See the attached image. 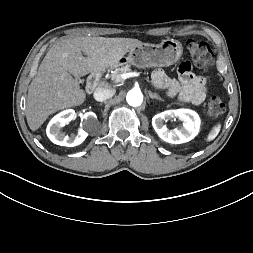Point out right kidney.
I'll list each match as a JSON object with an SVG mask.
<instances>
[{
	"label": "right kidney",
	"instance_id": "ca27d5eb",
	"mask_svg": "<svg viewBox=\"0 0 253 253\" xmlns=\"http://www.w3.org/2000/svg\"><path fill=\"white\" fill-rule=\"evenodd\" d=\"M76 113L74 110L69 109L60 112L54 116L47 126V136L49 139L57 145L74 147L80 145L88 136L86 130L90 129L92 124L97 120V116L93 112H87L84 114L83 126L79 129L78 134L66 135L61 131V128L68 124Z\"/></svg>",
	"mask_w": 253,
	"mask_h": 253
}]
</instances>
